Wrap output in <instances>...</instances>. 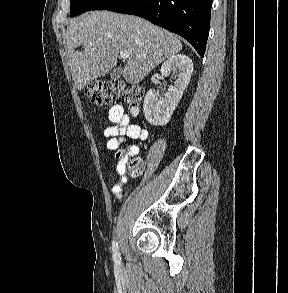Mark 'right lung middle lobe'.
<instances>
[{
  "instance_id": "right-lung-middle-lobe-1",
  "label": "right lung middle lobe",
  "mask_w": 288,
  "mask_h": 293,
  "mask_svg": "<svg viewBox=\"0 0 288 293\" xmlns=\"http://www.w3.org/2000/svg\"><path fill=\"white\" fill-rule=\"evenodd\" d=\"M70 16H77L89 10H104L121 0H70Z\"/></svg>"
}]
</instances>
